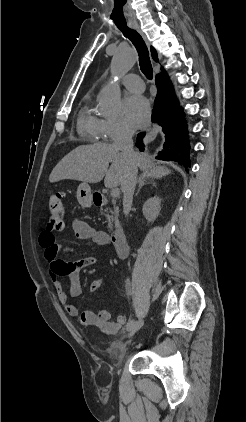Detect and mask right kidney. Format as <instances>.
Listing matches in <instances>:
<instances>
[{"label": "right kidney", "instance_id": "ca27d5eb", "mask_svg": "<svg viewBox=\"0 0 246 422\" xmlns=\"http://www.w3.org/2000/svg\"><path fill=\"white\" fill-rule=\"evenodd\" d=\"M160 203L161 199L157 196H154L146 200V202L143 204V215L148 222H154L158 217L161 209Z\"/></svg>", "mask_w": 246, "mask_h": 422}]
</instances>
